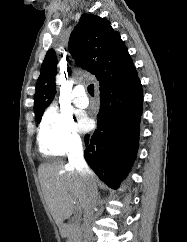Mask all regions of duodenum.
I'll return each instance as SVG.
<instances>
[{"label":"duodenum","instance_id":"1","mask_svg":"<svg viewBox=\"0 0 187 242\" xmlns=\"http://www.w3.org/2000/svg\"><path fill=\"white\" fill-rule=\"evenodd\" d=\"M59 230L62 236H66L70 230V227L67 223H63L60 225Z\"/></svg>","mask_w":187,"mask_h":242}]
</instances>
